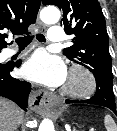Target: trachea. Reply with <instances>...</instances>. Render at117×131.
I'll list each match as a JSON object with an SVG mask.
<instances>
[{
    "instance_id": "obj_1",
    "label": "trachea",
    "mask_w": 117,
    "mask_h": 131,
    "mask_svg": "<svg viewBox=\"0 0 117 131\" xmlns=\"http://www.w3.org/2000/svg\"><path fill=\"white\" fill-rule=\"evenodd\" d=\"M33 36H25V37H18L15 39L16 43L18 44V46L22 47V46H27L28 44H30V42L32 41ZM36 39L39 42H44L45 41V36L41 33H38L36 35Z\"/></svg>"
}]
</instances>
